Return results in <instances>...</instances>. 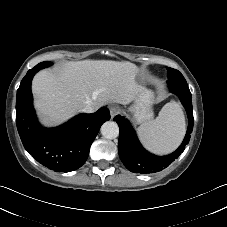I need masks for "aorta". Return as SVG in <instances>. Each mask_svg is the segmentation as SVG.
Here are the masks:
<instances>
[{
	"mask_svg": "<svg viewBox=\"0 0 227 227\" xmlns=\"http://www.w3.org/2000/svg\"><path fill=\"white\" fill-rule=\"evenodd\" d=\"M101 134L106 139H115L119 135V127L116 122L107 121L101 127Z\"/></svg>",
	"mask_w": 227,
	"mask_h": 227,
	"instance_id": "1",
	"label": "aorta"
}]
</instances>
